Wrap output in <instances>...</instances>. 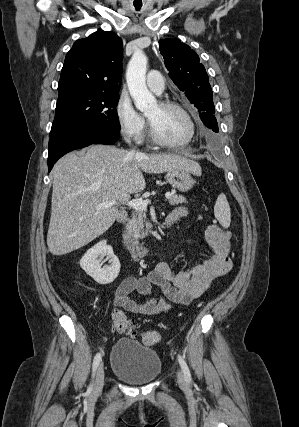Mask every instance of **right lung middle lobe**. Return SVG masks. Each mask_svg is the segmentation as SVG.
<instances>
[{"instance_id":"dd1d6c3e","label":"right lung middle lobe","mask_w":299,"mask_h":427,"mask_svg":"<svg viewBox=\"0 0 299 427\" xmlns=\"http://www.w3.org/2000/svg\"><path fill=\"white\" fill-rule=\"evenodd\" d=\"M118 92H84L57 101L50 136L73 127L120 131Z\"/></svg>"}]
</instances>
